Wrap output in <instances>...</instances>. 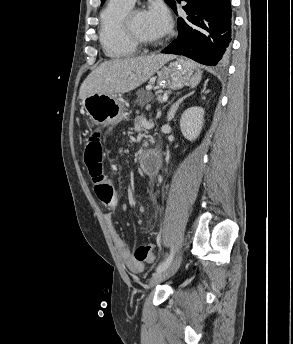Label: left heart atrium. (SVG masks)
Listing matches in <instances>:
<instances>
[{
	"instance_id": "left-heart-atrium-1",
	"label": "left heart atrium",
	"mask_w": 293,
	"mask_h": 344,
	"mask_svg": "<svg viewBox=\"0 0 293 344\" xmlns=\"http://www.w3.org/2000/svg\"><path fill=\"white\" fill-rule=\"evenodd\" d=\"M145 18L149 28L160 37L166 35L171 29L170 14L166 7L160 3L153 4L145 12Z\"/></svg>"
}]
</instances>
